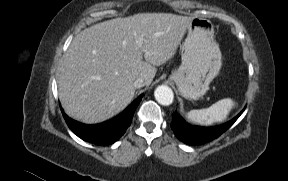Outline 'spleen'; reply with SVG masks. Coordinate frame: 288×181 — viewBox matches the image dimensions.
<instances>
[{"label":"spleen","mask_w":288,"mask_h":181,"mask_svg":"<svg viewBox=\"0 0 288 181\" xmlns=\"http://www.w3.org/2000/svg\"><path fill=\"white\" fill-rule=\"evenodd\" d=\"M234 106L235 102L232 99L225 98L217 101L208 108L189 111L187 118L201 125H211L224 121Z\"/></svg>","instance_id":"3e777b00"}]
</instances>
